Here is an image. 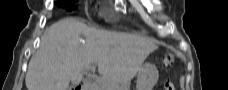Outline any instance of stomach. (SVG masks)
<instances>
[{
  "label": "stomach",
  "mask_w": 228,
  "mask_h": 90,
  "mask_svg": "<svg viewBox=\"0 0 228 90\" xmlns=\"http://www.w3.org/2000/svg\"><path fill=\"white\" fill-rule=\"evenodd\" d=\"M158 79L155 65L146 63L141 66L137 76V90H152Z\"/></svg>",
  "instance_id": "0dacf381"
}]
</instances>
